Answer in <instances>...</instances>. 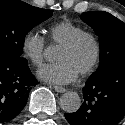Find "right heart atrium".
Listing matches in <instances>:
<instances>
[{
  "instance_id": "d8ad5b80",
  "label": "right heart atrium",
  "mask_w": 125,
  "mask_h": 125,
  "mask_svg": "<svg viewBox=\"0 0 125 125\" xmlns=\"http://www.w3.org/2000/svg\"><path fill=\"white\" fill-rule=\"evenodd\" d=\"M45 39L40 34L30 31L21 43V51L33 66L39 67L44 60Z\"/></svg>"
}]
</instances>
